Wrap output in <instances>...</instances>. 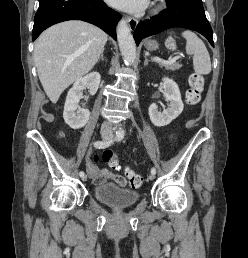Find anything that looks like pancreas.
Masks as SVG:
<instances>
[{"instance_id": "obj_1", "label": "pancreas", "mask_w": 248, "mask_h": 258, "mask_svg": "<svg viewBox=\"0 0 248 258\" xmlns=\"http://www.w3.org/2000/svg\"><path fill=\"white\" fill-rule=\"evenodd\" d=\"M158 64L162 67H164L166 70H170V71H176L179 68H181V65L177 62H173V63H164V62H160L158 61Z\"/></svg>"}]
</instances>
